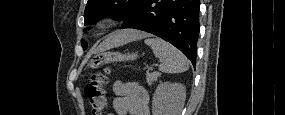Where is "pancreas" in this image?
Segmentation results:
<instances>
[{"mask_svg": "<svg viewBox=\"0 0 285 115\" xmlns=\"http://www.w3.org/2000/svg\"><path fill=\"white\" fill-rule=\"evenodd\" d=\"M161 76L159 72H147L146 73V80L149 85L157 81V79Z\"/></svg>", "mask_w": 285, "mask_h": 115, "instance_id": "1", "label": "pancreas"}]
</instances>
